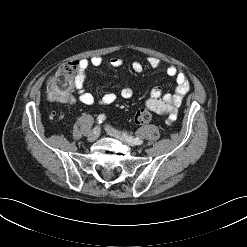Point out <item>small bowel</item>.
I'll return each mask as SVG.
<instances>
[{
    "label": "small bowel",
    "mask_w": 247,
    "mask_h": 247,
    "mask_svg": "<svg viewBox=\"0 0 247 247\" xmlns=\"http://www.w3.org/2000/svg\"><path fill=\"white\" fill-rule=\"evenodd\" d=\"M102 58L100 56H93L91 58H83L78 61V84L77 98L84 104L92 105L96 102L95 96L85 90L84 85L87 79V71L89 68H98L102 65ZM122 59L112 58L110 60V65L112 67H119L122 64ZM148 65L152 69H158L162 67L161 61L156 57H149L147 59ZM132 69L136 73H141L144 66L141 62H134L132 64ZM165 72L169 77H172L176 81V89L172 93H163L160 88H152L149 92V98L146 101V107L156 113L165 114L167 116V121L170 123L176 119L178 108L182 103L185 94L190 89V82L184 71L174 64H168L165 66ZM133 95V89L129 86H125L120 91V96L122 98L128 99ZM117 99V94L109 92L104 94L100 99V104L110 105L114 103ZM75 98H70L65 101V103L71 107L75 103Z\"/></svg>",
    "instance_id": "small-bowel-1"
}]
</instances>
